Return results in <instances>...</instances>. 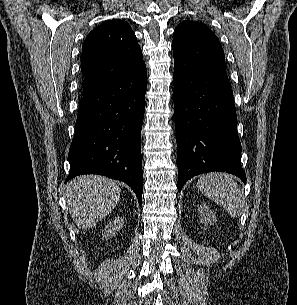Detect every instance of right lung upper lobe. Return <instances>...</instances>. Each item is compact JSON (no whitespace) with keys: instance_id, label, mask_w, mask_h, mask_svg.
Here are the masks:
<instances>
[{"instance_id":"right-lung-upper-lobe-1","label":"right lung upper lobe","mask_w":297,"mask_h":305,"mask_svg":"<svg viewBox=\"0 0 297 305\" xmlns=\"http://www.w3.org/2000/svg\"><path fill=\"white\" fill-rule=\"evenodd\" d=\"M145 62L136 36L123 20L94 28L82 46L81 71L86 94L139 70Z\"/></svg>"}]
</instances>
